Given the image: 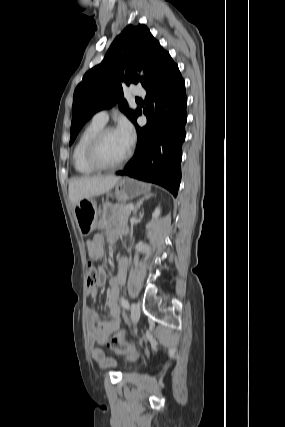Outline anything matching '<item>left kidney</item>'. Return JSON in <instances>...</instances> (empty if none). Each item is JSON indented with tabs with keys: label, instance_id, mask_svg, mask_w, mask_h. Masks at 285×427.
Wrapping results in <instances>:
<instances>
[{
	"label": "left kidney",
	"instance_id": "1",
	"mask_svg": "<svg viewBox=\"0 0 285 427\" xmlns=\"http://www.w3.org/2000/svg\"><path fill=\"white\" fill-rule=\"evenodd\" d=\"M160 213H161V209H160V207H157L152 214V218L157 219L160 216Z\"/></svg>",
	"mask_w": 285,
	"mask_h": 427
}]
</instances>
